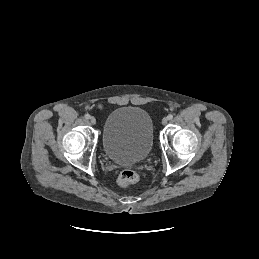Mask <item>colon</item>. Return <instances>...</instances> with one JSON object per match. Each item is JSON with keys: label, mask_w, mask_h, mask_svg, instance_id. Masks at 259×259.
<instances>
[{"label": "colon", "mask_w": 259, "mask_h": 259, "mask_svg": "<svg viewBox=\"0 0 259 259\" xmlns=\"http://www.w3.org/2000/svg\"><path fill=\"white\" fill-rule=\"evenodd\" d=\"M139 179H140V176L136 171L127 169L120 173L118 177V184L121 187H127L131 184L138 182Z\"/></svg>", "instance_id": "1"}]
</instances>
